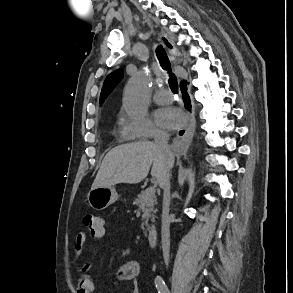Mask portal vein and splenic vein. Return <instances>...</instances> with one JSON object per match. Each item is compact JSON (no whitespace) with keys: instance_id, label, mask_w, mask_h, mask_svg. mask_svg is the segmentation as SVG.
Masks as SVG:
<instances>
[{"instance_id":"portal-vein-and-splenic-vein-1","label":"portal vein and splenic vein","mask_w":293,"mask_h":293,"mask_svg":"<svg viewBox=\"0 0 293 293\" xmlns=\"http://www.w3.org/2000/svg\"><path fill=\"white\" fill-rule=\"evenodd\" d=\"M155 194V188L154 187H149L146 189V196H152Z\"/></svg>"}]
</instances>
